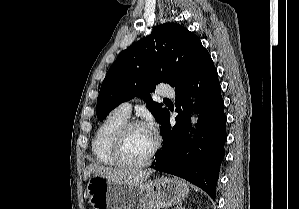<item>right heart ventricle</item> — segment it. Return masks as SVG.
Returning a JSON list of instances; mask_svg holds the SVG:
<instances>
[{"label":"right heart ventricle","instance_id":"obj_1","mask_svg":"<svg viewBox=\"0 0 299 209\" xmlns=\"http://www.w3.org/2000/svg\"><path fill=\"white\" fill-rule=\"evenodd\" d=\"M127 119V116L113 110L97 128L92 142V151L98 163L117 165L112 155L113 138Z\"/></svg>","mask_w":299,"mask_h":209}]
</instances>
